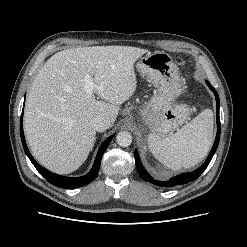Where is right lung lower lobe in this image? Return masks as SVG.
Here are the masks:
<instances>
[{"instance_id": "98d812e1", "label": "right lung lower lobe", "mask_w": 247, "mask_h": 247, "mask_svg": "<svg viewBox=\"0 0 247 247\" xmlns=\"http://www.w3.org/2000/svg\"><path fill=\"white\" fill-rule=\"evenodd\" d=\"M23 113L21 115V120H20V135H21V140H22V144L25 150V153L27 154V156L29 157L30 161L33 163V165L35 166V168L38 170V172L51 184L61 187V188H66V189H72V188H78L84 185H87L88 183H90L92 180L95 179L98 171H99V167H100V163H101V158L103 153L105 152L108 144L110 143L111 139L113 138V136L109 137L100 147L94 165L91 169V171L82 177H77V178H69V177H64V176H60L57 174H54L46 169H44L43 167H41L32 157V155L30 154L26 142H25V138H24V133H23Z\"/></svg>"}]
</instances>
